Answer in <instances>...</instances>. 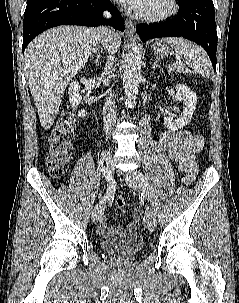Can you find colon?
I'll return each mask as SVG.
<instances>
[{
    "instance_id": "obj_1",
    "label": "colon",
    "mask_w": 239,
    "mask_h": 303,
    "mask_svg": "<svg viewBox=\"0 0 239 303\" xmlns=\"http://www.w3.org/2000/svg\"><path fill=\"white\" fill-rule=\"evenodd\" d=\"M75 126V117L71 113L64 114L56 123L48 138L46 153V166L49 173L55 178L64 175L65 168L69 161L71 150V137ZM116 208L119 211L125 209V199L119 197L116 200ZM139 223V219L134 220Z\"/></svg>"
}]
</instances>
